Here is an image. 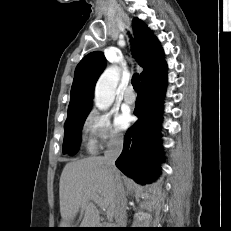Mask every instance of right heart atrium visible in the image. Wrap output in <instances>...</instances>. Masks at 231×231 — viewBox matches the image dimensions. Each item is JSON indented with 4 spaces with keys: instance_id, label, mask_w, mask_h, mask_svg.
<instances>
[{
    "instance_id": "obj_1",
    "label": "right heart atrium",
    "mask_w": 231,
    "mask_h": 231,
    "mask_svg": "<svg viewBox=\"0 0 231 231\" xmlns=\"http://www.w3.org/2000/svg\"><path fill=\"white\" fill-rule=\"evenodd\" d=\"M82 130L91 151H97L107 145H116L123 139L112 114L107 111H89L83 121Z\"/></svg>"
}]
</instances>
